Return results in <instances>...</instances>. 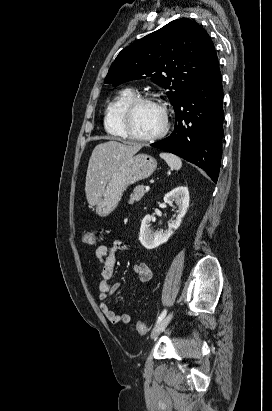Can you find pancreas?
Listing matches in <instances>:
<instances>
[{"label":"pancreas","instance_id":"cf45deb5","mask_svg":"<svg viewBox=\"0 0 272 411\" xmlns=\"http://www.w3.org/2000/svg\"><path fill=\"white\" fill-rule=\"evenodd\" d=\"M144 188H145L144 185H139L133 190V193L130 195V200H129L130 205H133L134 203L139 202L142 199V197L146 193Z\"/></svg>","mask_w":272,"mask_h":411}]
</instances>
